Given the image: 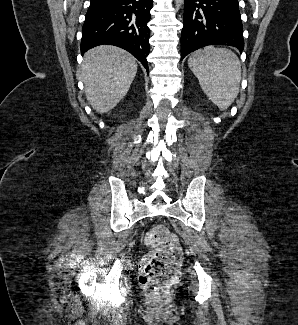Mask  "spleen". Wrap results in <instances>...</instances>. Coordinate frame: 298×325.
<instances>
[{
    "instance_id": "1",
    "label": "spleen",
    "mask_w": 298,
    "mask_h": 325,
    "mask_svg": "<svg viewBox=\"0 0 298 325\" xmlns=\"http://www.w3.org/2000/svg\"><path fill=\"white\" fill-rule=\"evenodd\" d=\"M188 66L208 98L225 110L235 100L240 86V60L229 48L204 46L188 58Z\"/></svg>"
}]
</instances>
